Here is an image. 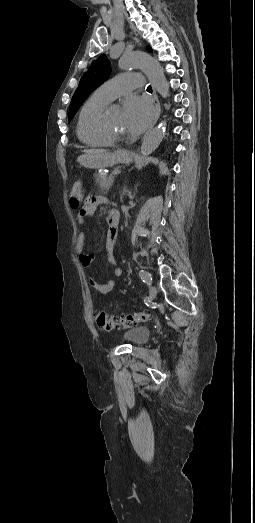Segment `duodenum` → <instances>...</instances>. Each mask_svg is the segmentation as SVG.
<instances>
[{"label":"duodenum","mask_w":255,"mask_h":523,"mask_svg":"<svg viewBox=\"0 0 255 523\" xmlns=\"http://www.w3.org/2000/svg\"><path fill=\"white\" fill-rule=\"evenodd\" d=\"M120 221V212L117 209H112L107 216V224L110 229L117 228Z\"/></svg>","instance_id":"obj_1"}]
</instances>
